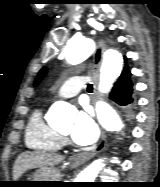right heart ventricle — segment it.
Returning a JSON list of instances; mask_svg holds the SVG:
<instances>
[{
	"label": "right heart ventricle",
	"instance_id": "right-heart-ventricle-1",
	"mask_svg": "<svg viewBox=\"0 0 160 187\" xmlns=\"http://www.w3.org/2000/svg\"><path fill=\"white\" fill-rule=\"evenodd\" d=\"M25 144L29 149L34 151L56 153L62 148L64 140L43 119L42 110L37 109L28 120L25 129Z\"/></svg>",
	"mask_w": 160,
	"mask_h": 187
}]
</instances>
